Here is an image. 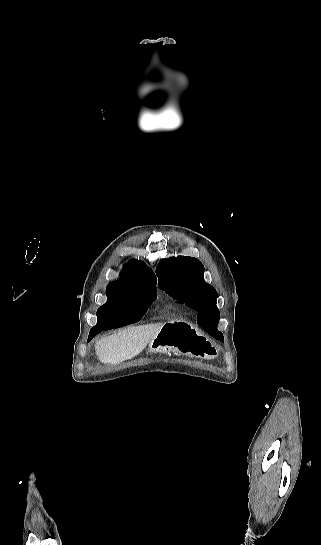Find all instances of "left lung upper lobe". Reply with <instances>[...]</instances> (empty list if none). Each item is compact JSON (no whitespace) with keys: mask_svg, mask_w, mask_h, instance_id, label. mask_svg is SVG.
Here are the masks:
<instances>
[{"mask_svg":"<svg viewBox=\"0 0 321 545\" xmlns=\"http://www.w3.org/2000/svg\"><path fill=\"white\" fill-rule=\"evenodd\" d=\"M156 273L160 289L199 312L198 325L201 328H211V321H219L220 312L216 307L218 295L204 281V267L199 260L185 256L161 260Z\"/></svg>","mask_w":321,"mask_h":545,"instance_id":"obj_1","label":"left lung upper lobe"}]
</instances>
